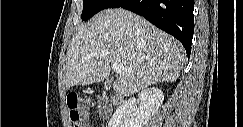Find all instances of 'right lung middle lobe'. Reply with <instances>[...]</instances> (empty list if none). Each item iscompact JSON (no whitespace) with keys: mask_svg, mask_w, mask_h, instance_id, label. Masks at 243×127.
<instances>
[{"mask_svg":"<svg viewBox=\"0 0 243 127\" xmlns=\"http://www.w3.org/2000/svg\"><path fill=\"white\" fill-rule=\"evenodd\" d=\"M117 0H83L82 21H87L99 11L111 8Z\"/></svg>","mask_w":243,"mask_h":127,"instance_id":"1","label":"right lung middle lobe"}]
</instances>
